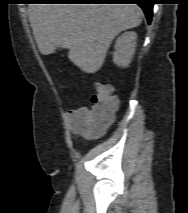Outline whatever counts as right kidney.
Listing matches in <instances>:
<instances>
[{
    "label": "right kidney",
    "instance_id": "right-kidney-1",
    "mask_svg": "<svg viewBox=\"0 0 188 213\" xmlns=\"http://www.w3.org/2000/svg\"><path fill=\"white\" fill-rule=\"evenodd\" d=\"M137 34L133 31L125 32L117 38L113 61L119 67H128L136 48Z\"/></svg>",
    "mask_w": 188,
    "mask_h": 213
}]
</instances>
